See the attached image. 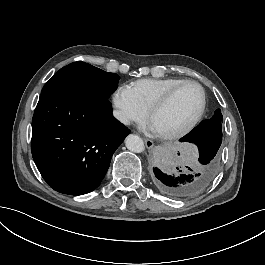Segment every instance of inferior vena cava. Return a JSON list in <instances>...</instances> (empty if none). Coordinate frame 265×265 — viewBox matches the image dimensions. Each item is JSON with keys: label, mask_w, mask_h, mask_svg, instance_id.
<instances>
[{"label": "inferior vena cava", "mask_w": 265, "mask_h": 265, "mask_svg": "<svg viewBox=\"0 0 265 265\" xmlns=\"http://www.w3.org/2000/svg\"><path fill=\"white\" fill-rule=\"evenodd\" d=\"M114 116L118 119V120H120L123 124H128L129 123V121L127 120V118H125L123 115H122V113L121 112H119V111H114Z\"/></svg>", "instance_id": "obj_1"}]
</instances>
